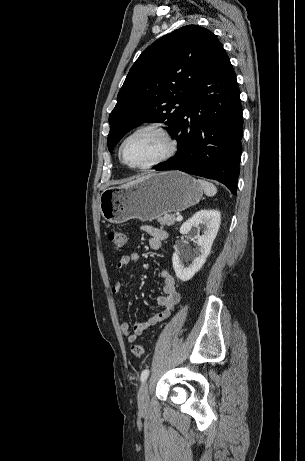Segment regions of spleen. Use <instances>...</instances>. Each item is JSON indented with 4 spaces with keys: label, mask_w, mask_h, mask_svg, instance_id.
<instances>
[{
    "label": "spleen",
    "mask_w": 305,
    "mask_h": 461,
    "mask_svg": "<svg viewBox=\"0 0 305 461\" xmlns=\"http://www.w3.org/2000/svg\"><path fill=\"white\" fill-rule=\"evenodd\" d=\"M197 182L200 184L207 196L211 197L217 193V188L212 183L202 179H198Z\"/></svg>",
    "instance_id": "3e777b00"
}]
</instances>
